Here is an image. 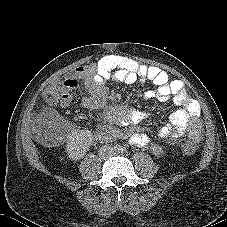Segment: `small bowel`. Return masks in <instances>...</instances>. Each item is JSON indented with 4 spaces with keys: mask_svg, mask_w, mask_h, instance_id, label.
Masks as SVG:
<instances>
[{
    "mask_svg": "<svg viewBox=\"0 0 227 227\" xmlns=\"http://www.w3.org/2000/svg\"><path fill=\"white\" fill-rule=\"evenodd\" d=\"M109 81L121 82L125 84L152 83L155 88L147 90V98H155L160 101L171 100L174 104L180 106L172 116L170 123L158 131V137L168 140L171 143L177 142L184 136V124L191 117H198L199 108L194 101L188 97L185 86L182 81L170 79L167 72L162 69L140 64L134 59L109 55L101 58L97 63L81 66L67 76L62 84L63 107L69 106L73 101L72 91L84 87L89 96L83 98L82 105L91 109L95 107L104 108L100 104L102 88ZM51 118H57V115L51 114ZM146 115L138 112L129 116V123H138L145 119ZM124 124V122H122ZM130 142L138 147L147 146L151 141V134L148 131H134L129 135Z\"/></svg>",
    "mask_w": 227,
    "mask_h": 227,
    "instance_id": "c3829d8e",
    "label": "small bowel"
}]
</instances>
